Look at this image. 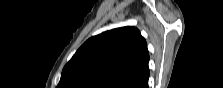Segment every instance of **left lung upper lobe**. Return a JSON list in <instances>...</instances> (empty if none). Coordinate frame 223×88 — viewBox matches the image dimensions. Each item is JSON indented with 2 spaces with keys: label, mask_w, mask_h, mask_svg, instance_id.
<instances>
[{
  "label": "left lung upper lobe",
  "mask_w": 223,
  "mask_h": 88,
  "mask_svg": "<svg viewBox=\"0 0 223 88\" xmlns=\"http://www.w3.org/2000/svg\"><path fill=\"white\" fill-rule=\"evenodd\" d=\"M147 43L134 27L88 39L65 65L57 88H135L149 77Z\"/></svg>",
  "instance_id": "5c2ea615"
}]
</instances>
